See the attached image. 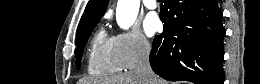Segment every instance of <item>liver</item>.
Listing matches in <instances>:
<instances>
[{
	"label": "liver",
	"mask_w": 260,
	"mask_h": 84,
	"mask_svg": "<svg viewBox=\"0 0 260 84\" xmlns=\"http://www.w3.org/2000/svg\"><path fill=\"white\" fill-rule=\"evenodd\" d=\"M81 82H83L82 84H144L143 78L137 75L134 71L102 79L83 80ZM157 84L167 83L162 79H157Z\"/></svg>",
	"instance_id": "obj_1"
}]
</instances>
